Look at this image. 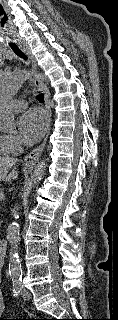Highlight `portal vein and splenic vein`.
Instances as JSON below:
<instances>
[{"mask_svg":"<svg viewBox=\"0 0 118 320\" xmlns=\"http://www.w3.org/2000/svg\"><path fill=\"white\" fill-rule=\"evenodd\" d=\"M5 199V195H4V192H0V201L4 200Z\"/></svg>","mask_w":118,"mask_h":320,"instance_id":"1","label":"portal vein and splenic vein"}]
</instances>
